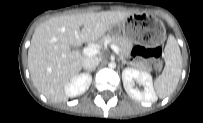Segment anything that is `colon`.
<instances>
[{"label":"colon","instance_id":"1","mask_svg":"<svg viewBox=\"0 0 203 123\" xmlns=\"http://www.w3.org/2000/svg\"><path fill=\"white\" fill-rule=\"evenodd\" d=\"M147 56L148 58L152 61L154 67L157 70H160L162 67V63L160 60V56H161V49L160 48H152L150 50L147 51Z\"/></svg>","mask_w":203,"mask_h":123}]
</instances>
